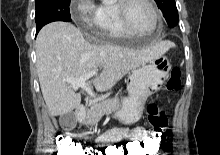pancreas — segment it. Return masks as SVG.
<instances>
[{
    "label": "pancreas",
    "mask_w": 220,
    "mask_h": 155,
    "mask_svg": "<svg viewBox=\"0 0 220 155\" xmlns=\"http://www.w3.org/2000/svg\"><path fill=\"white\" fill-rule=\"evenodd\" d=\"M120 107L121 103L118 95L114 98L107 99L102 103H90L85 116V123L96 125L105 114L115 112Z\"/></svg>",
    "instance_id": "cf45deb5"
}]
</instances>
